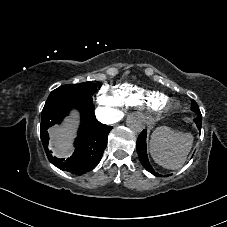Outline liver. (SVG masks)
<instances>
[{
	"instance_id": "obj_1",
	"label": "liver",
	"mask_w": 227,
	"mask_h": 227,
	"mask_svg": "<svg viewBox=\"0 0 227 227\" xmlns=\"http://www.w3.org/2000/svg\"><path fill=\"white\" fill-rule=\"evenodd\" d=\"M53 137L56 140L55 151L60 155H68L70 153V130L67 128L51 130Z\"/></svg>"
}]
</instances>
